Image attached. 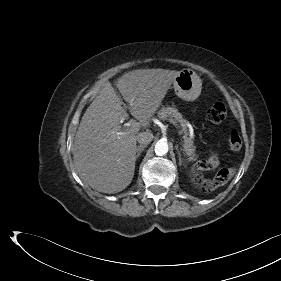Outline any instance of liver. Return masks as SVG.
Returning a JSON list of instances; mask_svg holds the SVG:
<instances>
[{
	"label": "liver",
	"instance_id": "1",
	"mask_svg": "<svg viewBox=\"0 0 281 281\" xmlns=\"http://www.w3.org/2000/svg\"><path fill=\"white\" fill-rule=\"evenodd\" d=\"M180 71L138 69L119 78L117 88L129 104L130 114L139 120V130L149 125ZM122 100L107 83L85 111L73 144V159L80 178L103 193H117L132 181L135 170L138 131H123L128 118Z\"/></svg>",
	"mask_w": 281,
	"mask_h": 281
}]
</instances>
